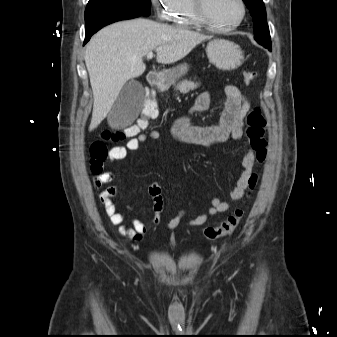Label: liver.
<instances>
[{
    "mask_svg": "<svg viewBox=\"0 0 337 337\" xmlns=\"http://www.w3.org/2000/svg\"><path fill=\"white\" fill-rule=\"evenodd\" d=\"M200 33L138 18L111 24L96 33L85 51L93 91L89 131L110 112L126 82L146 69L143 57L155 50L157 62L175 63L207 39Z\"/></svg>",
    "mask_w": 337,
    "mask_h": 337,
    "instance_id": "liver-1",
    "label": "liver"
}]
</instances>
